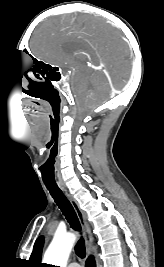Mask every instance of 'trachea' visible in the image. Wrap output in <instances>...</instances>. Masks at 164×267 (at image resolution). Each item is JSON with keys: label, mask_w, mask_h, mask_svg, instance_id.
Wrapping results in <instances>:
<instances>
[{"label": "trachea", "mask_w": 164, "mask_h": 267, "mask_svg": "<svg viewBox=\"0 0 164 267\" xmlns=\"http://www.w3.org/2000/svg\"><path fill=\"white\" fill-rule=\"evenodd\" d=\"M47 189L49 190L51 196L55 200L57 206L62 211L63 215L67 219L68 223L70 224L71 228L75 231L80 232L81 226L80 222L78 220V217L76 215V212L74 208L72 207L71 203L68 201V199L64 196L62 191L58 187H51L47 186ZM75 252L77 256L80 258L85 257V244L84 239L81 237L76 246H75Z\"/></svg>", "instance_id": "3493384b"}]
</instances>
